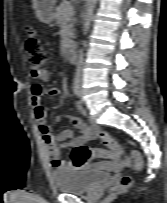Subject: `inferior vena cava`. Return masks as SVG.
I'll return each mask as SVG.
<instances>
[{
	"label": "inferior vena cava",
	"instance_id": "obj_1",
	"mask_svg": "<svg viewBox=\"0 0 167 203\" xmlns=\"http://www.w3.org/2000/svg\"><path fill=\"white\" fill-rule=\"evenodd\" d=\"M81 65H82V51H80L78 65H77V73H78V75H80V72H81Z\"/></svg>",
	"mask_w": 167,
	"mask_h": 203
}]
</instances>
